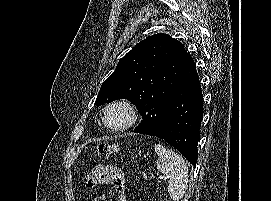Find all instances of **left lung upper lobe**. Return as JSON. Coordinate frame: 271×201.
<instances>
[{"label": "left lung upper lobe", "mask_w": 271, "mask_h": 201, "mask_svg": "<svg viewBox=\"0 0 271 201\" xmlns=\"http://www.w3.org/2000/svg\"><path fill=\"white\" fill-rule=\"evenodd\" d=\"M187 52L167 34L136 44L102 83L95 105L128 99L138 109L147 135L158 133L165 109L182 80Z\"/></svg>", "instance_id": "5c2ea615"}]
</instances>
